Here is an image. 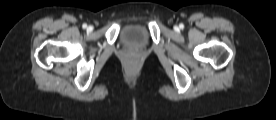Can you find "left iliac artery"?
Returning a JSON list of instances; mask_svg holds the SVG:
<instances>
[{
	"label": "left iliac artery",
	"instance_id": "44dca946",
	"mask_svg": "<svg viewBox=\"0 0 276 120\" xmlns=\"http://www.w3.org/2000/svg\"><path fill=\"white\" fill-rule=\"evenodd\" d=\"M179 27H180L181 29H183V28H184V25H183V24H180Z\"/></svg>",
	"mask_w": 276,
	"mask_h": 120
}]
</instances>
